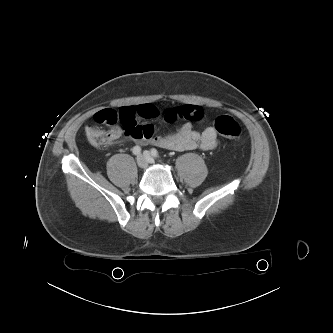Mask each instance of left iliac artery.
Wrapping results in <instances>:
<instances>
[{
    "label": "left iliac artery",
    "instance_id": "44dca946",
    "mask_svg": "<svg viewBox=\"0 0 333 333\" xmlns=\"http://www.w3.org/2000/svg\"><path fill=\"white\" fill-rule=\"evenodd\" d=\"M151 155L155 158L159 157L158 151L155 148L151 149Z\"/></svg>",
    "mask_w": 333,
    "mask_h": 333
}]
</instances>
